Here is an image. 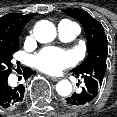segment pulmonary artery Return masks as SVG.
<instances>
[{
  "label": "pulmonary artery",
  "mask_w": 117,
  "mask_h": 117,
  "mask_svg": "<svg viewBox=\"0 0 117 117\" xmlns=\"http://www.w3.org/2000/svg\"><path fill=\"white\" fill-rule=\"evenodd\" d=\"M80 32L78 24L70 21H61L58 24V35L62 41H71L76 38Z\"/></svg>",
  "instance_id": "pulmonary-artery-1"
}]
</instances>
